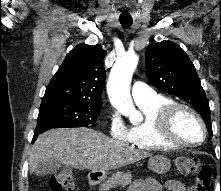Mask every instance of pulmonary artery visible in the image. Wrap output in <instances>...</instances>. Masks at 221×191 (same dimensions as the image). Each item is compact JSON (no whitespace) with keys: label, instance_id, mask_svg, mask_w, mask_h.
<instances>
[{"label":"pulmonary artery","instance_id":"1","mask_svg":"<svg viewBox=\"0 0 221 191\" xmlns=\"http://www.w3.org/2000/svg\"><path fill=\"white\" fill-rule=\"evenodd\" d=\"M131 94L136 104L150 102L157 97L156 92L141 81H136L133 83Z\"/></svg>","mask_w":221,"mask_h":191}]
</instances>
